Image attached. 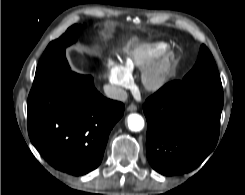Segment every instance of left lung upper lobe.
I'll use <instances>...</instances> for the list:
<instances>
[{
  "label": "left lung upper lobe",
  "instance_id": "1",
  "mask_svg": "<svg viewBox=\"0 0 245 195\" xmlns=\"http://www.w3.org/2000/svg\"><path fill=\"white\" fill-rule=\"evenodd\" d=\"M182 82L188 85L204 86L222 90L221 79L216 63L205 45L201 46L195 66L183 78Z\"/></svg>",
  "mask_w": 245,
  "mask_h": 195
}]
</instances>
